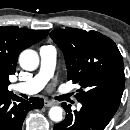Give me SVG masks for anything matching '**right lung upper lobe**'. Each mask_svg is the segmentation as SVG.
I'll use <instances>...</instances> for the list:
<instances>
[{
  "label": "right lung upper lobe",
  "mask_w": 130,
  "mask_h": 130,
  "mask_svg": "<svg viewBox=\"0 0 130 130\" xmlns=\"http://www.w3.org/2000/svg\"><path fill=\"white\" fill-rule=\"evenodd\" d=\"M47 35V30H29L17 26L0 27V94L12 93L7 88L9 75L16 71L20 52Z\"/></svg>",
  "instance_id": "cb5924a9"
}]
</instances>
